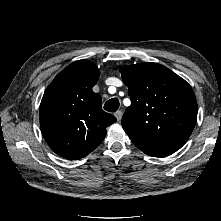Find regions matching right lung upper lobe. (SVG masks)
Masks as SVG:
<instances>
[{"instance_id": "right-lung-upper-lobe-1", "label": "right lung upper lobe", "mask_w": 221, "mask_h": 221, "mask_svg": "<svg viewBox=\"0 0 221 221\" xmlns=\"http://www.w3.org/2000/svg\"><path fill=\"white\" fill-rule=\"evenodd\" d=\"M97 66L78 60L62 70L46 89L40 105V127L50 148L76 160L97 148L106 127L116 118L102 110L101 96L92 91Z\"/></svg>"}]
</instances>
